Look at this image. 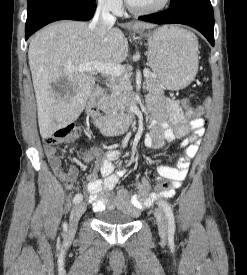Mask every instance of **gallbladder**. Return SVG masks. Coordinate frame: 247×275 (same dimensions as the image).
Returning <instances> with one entry per match:
<instances>
[{
	"label": "gallbladder",
	"instance_id": "1",
	"mask_svg": "<svg viewBox=\"0 0 247 275\" xmlns=\"http://www.w3.org/2000/svg\"><path fill=\"white\" fill-rule=\"evenodd\" d=\"M54 89L56 92H59L61 94L66 92V87L63 86V81H58L55 85H54Z\"/></svg>",
	"mask_w": 247,
	"mask_h": 275
}]
</instances>
